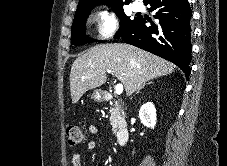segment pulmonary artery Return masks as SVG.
Segmentation results:
<instances>
[{"label": "pulmonary artery", "mask_w": 227, "mask_h": 166, "mask_svg": "<svg viewBox=\"0 0 227 166\" xmlns=\"http://www.w3.org/2000/svg\"><path fill=\"white\" fill-rule=\"evenodd\" d=\"M132 9L134 11H141V10H143V5L140 2L136 1L132 4Z\"/></svg>", "instance_id": "pulmonary-artery-1"}]
</instances>
